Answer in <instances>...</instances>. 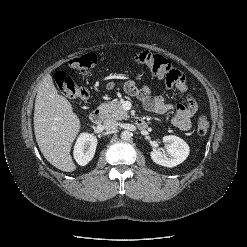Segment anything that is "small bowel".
Masks as SVG:
<instances>
[{"mask_svg": "<svg viewBox=\"0 0 247 247\" xmlns=\"http://www.w3.org/2000/svg\"><path fill=\"white\" fill-rule=\"evenodd\" d=\"M174 85L180 92L184 93L188 90L184 78ZM109 86L113 88L115 83H111ZM123 88L127 94L139 99L147 111L156 114L173 112L174 125L178 129L182 131H189L191 129V119L198 110V104L191 95L188 96L187 104L171 105L166 103L163 96L153 94L147 85L139 87L135 81L128 80L123 83Z\"/></svg>", "mask_w": 247, "mask_h": 247, "instance_id": "1", "label": "small bowel"}]
</instances>
